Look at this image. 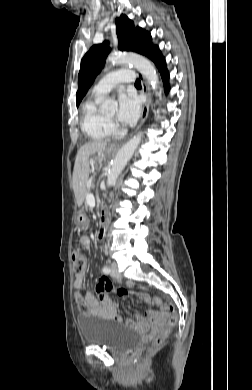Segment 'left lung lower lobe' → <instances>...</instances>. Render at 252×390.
<instances>
[{
	"instance_id": "left-lung-lower-lobe-1",
	"label": "left lung lower lobe",
	"mask_w": 252,
	"mask_h": 390,
	"mask_svg": "<svg viewBox=\"0 0 252 390\" xmlns=\"http://www.w3.org/2000/svg\"><path fill=\"white\" fill-rule=\"evenodd\" d=\"M147 57L150 58L156 64L164 82V90L165 92H168L170 89L168 84L169 73L166 67L165 58L161 55L158 46H153L152 49L149 51Z\"/></svg>"
}]
</instances>
